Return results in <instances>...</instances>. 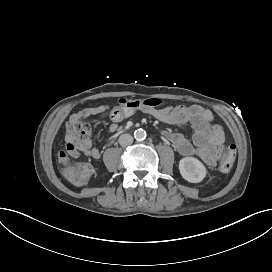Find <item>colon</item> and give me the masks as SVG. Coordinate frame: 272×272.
<instances>
[{
    "instance_id": "5ec220e1",
    "label": "colon",
    "mask_w": 272,
    "mask_h": 272,
    "mask_svg": "<svg viewBox=\"0 0 272 272\" xmlns=\"http://www.w3.org/2000/svg\"><path fill=\"white\" fill-rule=\"evenodd\" d=\"M161 104L162 100L157 97L122 99L119 101L118 106L110 112L109 116L112 121L116 122L127 118L135 110L157 108ZM93 113V108L88 107L69 115V123L66 125V143L58 152V156L63 160L59 164V171L62 174H66L76 184H83L86 181L90 173V165L87 162H79L75 165L66 160H69L71 157H78V149H91L94 146V139L89 136L91 132L90 126L80 121L84 117L93 115ZM235 153L236 145L231 140H228L226 146L217 153L220 171H228L232 168Z\"/></svg>"
}]
</instances>
